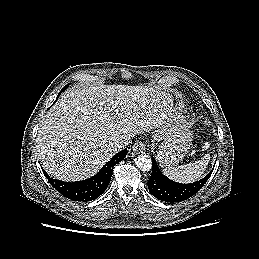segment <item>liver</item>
I'll return each mask as SVG.
<instances>
[{
  "label": "liver",
  "mask_w": 259,
  "mask_h": 259,
  "mask_svg": "<svg viewBox=\"0 0 259 259\" xmlns=\"http://www.w3.org/2000/svg\"><path fill=\"white\" fill-rule=\"evenodd\" d=\"M172 100L147 86L90 85L72 88L45 114L37 152L56 179L79 181L96 174L117 150L115 143L151 131L164 137Z\"/></svg>",
  "instance_id": "6515ba94"
}]
</instances>
